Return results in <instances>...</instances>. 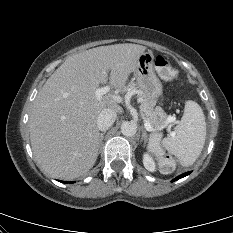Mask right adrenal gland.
I'll list each match as a JSON object with an SVG mask.
<instances>
[{"instance_id": "right-adrenal-gland-1", "label": "right adrenal gland", "mask_w": 233, "mask_h": 233, "mask_svg": "<svg viewBox=\"0 0 233 233\" xmlns=\"http://www.w3.org/2000/svg\"><path fill=\"white\" fill-rule=\"evenodd\" d=\"M105 131L103 133L100 134V143L102 144V141H103V138H104V135H105Z\"/></svg>"}]
</instances>
